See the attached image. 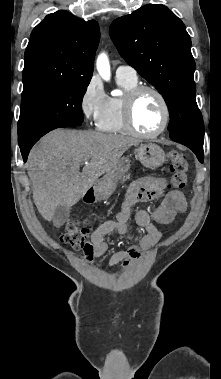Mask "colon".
<instances>
[{
  "label": "colon",
  "mask_w": 221,
  "mask_h": 379,
  "mask_svg": "<svg viewBox=\"0 0 221 379\" xmlns=\"http://www.w3.org/2000/svg\"><path fill=\"white\" fill-rule=\"evenodd\" d=\"M170 186L173 189H182L187 184L189 164L186 156L176 150L170 152ZM88 229L79 221L69 223L60 236V240L74 247L86 248L88 246Z\"/></svg>",
  "instance_id": "1"
}]
</instances>
